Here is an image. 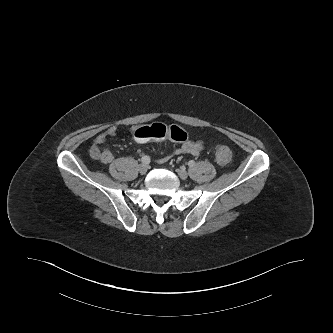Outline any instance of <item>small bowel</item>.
Returning <instances> with one entry per match:
<instances>
[{
	"mask_svg": "<svg viewBox=\"0 0 333 333\" xmlns=\"http://www.w3.org/2000/svg\"><path fill=\"white\" fill-rule=\"evenodd\" d=\"M136 128H131V133H134ZM117 129L115 127L108 128L107 130L98 134L90 147V156L97 161L104 164H109L114 160L112 151L108 148L102 147L109 137L116 134ZM204 148V143L198 139H186L181 145L176 148L172 154L174 155H193L198 156ZM169 156L162 157L161 161H166Z\"/></svg>",
	"mask_w": 333,
	"mask_h": 333,
	"instance_id": "1",
	"label": "small bowel"
}]
</instances>
